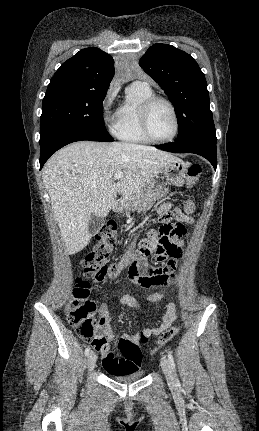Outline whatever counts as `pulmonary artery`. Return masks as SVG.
<instances>
[{
    "label": "pulmonary artery",
    "instance_id": "pulmonary-artery-1",
    "mask_svg": "<svg viewBox=\"0 0 259 431\" xmlns=\"http://www.w3.org/2000/svg\"><path fill=\"white\" fill-rule=\"evenodd\" d=\"M133 84L148 87V83L146 81H136Z\"/></svg>",
    "mask_w": 259,
    "mask_h": 431
}]
</instances>
